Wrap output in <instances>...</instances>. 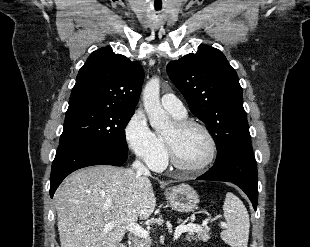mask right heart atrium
Returning a JSON list of instances; mask_svg holds the SVG:
<instances>
[{
    "mask_svg": "<svg viewBox=\"0 0 310 247\" xmlns=\"http://www.w3.org/2000/svg\"><path fill=\"white\" fill-rule=\"evenodd\" d=\"M124 138L130 150L149 167L161 169L167 159L164 143L150 129L145 115L138 111L128 121Z\"/></svg>",
    "mask_w": 310,
    "mask_h": 247,
    "instance_id": "right-heart-atrium-1",
    "label": "right heart atrium"
}]
</instances>
